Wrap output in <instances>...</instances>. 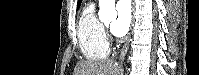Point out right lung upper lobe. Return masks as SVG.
Here are the masks:
<instances>
[{
  "label": "right lung upper lobe",
  "mask_w": 199,
  "mask_h": 75,
  "mask_svg": "<svg viewBox=\"0 0 199 75\" xmlns=\"http://www.w3.org/2000/svg\"><path fill=\"white\" fill-rule=\"evenodd\" d=\"M82 0H78V7L81 5Z\"/></svg>",
  "instance_id": "right-lung-upper-lobe-1"
}]
</instances>
